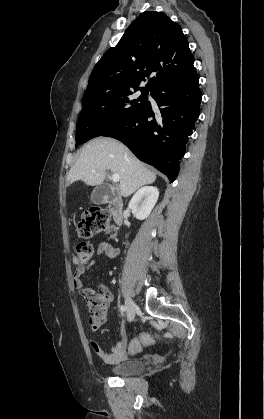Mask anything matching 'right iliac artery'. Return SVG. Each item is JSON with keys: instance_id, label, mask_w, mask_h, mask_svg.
Here are the masks:
<instances>
[{"instance_id": "82829eb1", "label": "right iliac artery", "mask_w": 264, "mask_h": 419, "mask_svg": "<svg viewBox=\"0 0 264 419\" xmlns=\"http://www.w3.org/2000/svg\"><path fill=\"white\" fill-rule=\"evenodd\" d=\"M120 311H121L122 313H124V312L126 311V307H125L124 305H121V306H120Z\"/></svg>"}]
</instances>
